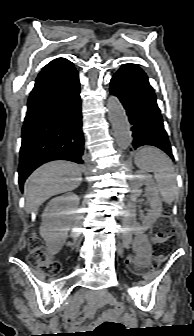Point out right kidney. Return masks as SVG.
Instances as JSON below:
<instances>
[{"instance_id": "right-kidney-1", "label": "right kidney", "mask_w": 194, "mask_h": 336, "mask_svg": "<svg viewBox=\"0 0 194 336\" xmlns=\"http://www.w3.org/2000/svg\"><path fill=\"white\" fill-rule=\"evenodd\" d=\"M78 205L79 197L69 193L53 198L44 209L40 235L50 253L56 254L63 247Z\"/></svg>"}]
</instances>
